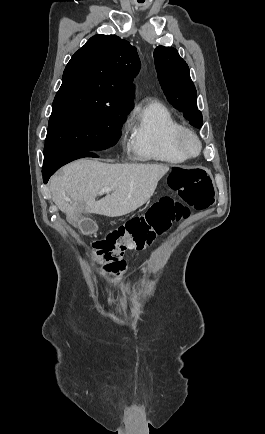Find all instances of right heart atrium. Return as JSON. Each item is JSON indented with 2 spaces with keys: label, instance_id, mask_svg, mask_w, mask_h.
<instances>
[{
  "label": "right heart atrium",
  "instance_id": "right-heart-atrium-1",
  "mask_svg": "<svg viewBox=\"0 0 265 434\" xmlns=\"http://www.w3.org/2000/svg\"><path fill=\"white\" fill-rule=\"evenodd\" d=\"M121 132H126V127H121ZM121 138H124V135H121Z\"/></svg>",
  "mask_w": 265,
  "mask_h": 434
}]
</instances>
